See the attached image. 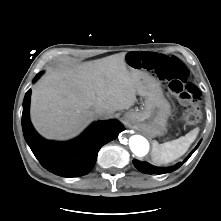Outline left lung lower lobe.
<instances>
[{
    "mask_svg": "<svg viewBox=\"0 0 221 221\" xmlns=\"http://www.w3.org/2000/svg\"><path fill=\"white\" fill-rule=\"evenodd\" d=\"M198 146H199V144L195 147V149L192 151V153L197 149ZM191 154L183 162H180V163L176 164L175 166L167 167V168L155 167V166H152L146 162H141L136 159L133 160V164L138 170H140L141 172L146 173V174H164V173H169V172H172V171L178 169L185 161H187V159L191 156Z\"/></svg>",
    "mask_w": 221,
    "mask_h": 221,
    "instance_id": "left-lung-lower-lobe-1",
    "label": "left lung lower lobe"
}]
</instances>
